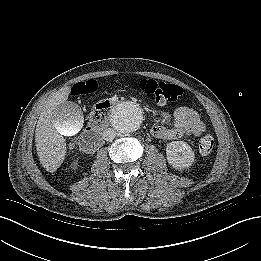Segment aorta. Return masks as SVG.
I'll return each instance as SVG.
<instances>
[{
	"mask_svg": "<svg viewBox=\"0 0 261 261\" xmlns=\"http://www.w3.org/2000/svg\"><path fill=\"white\" fill-rule=\"evenodd\" d=\"M143 122V112L138 104L126 101L118 104L111 113V124L122 134L138 130Z\"/></svg>",
	"mask_w": 261,
	"mask_h": 261,
	"instance_id": "obj_1",
	"label": "aorta"
}]
</instances>
